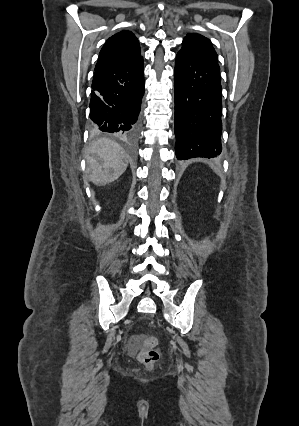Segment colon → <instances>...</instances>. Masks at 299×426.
<instances>
[{"label": "colon", "instance_id": "1", "mask_svg": "<svg viewBox=\"0 0 299 426\" xmlns=\"http://www.w3.org/2000/svg\"><path fill=\"white\" fill-rule=\"evenodd\" d=\"M137 338L143 342V348L139 352V360L147 367L151 368L160 358L157 349L158 339L152 336L138 335Z\"/></svg>", "mask_w": 299, "mask_h": 426}]
</instances>
